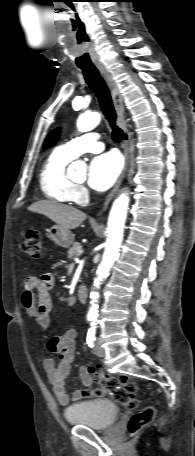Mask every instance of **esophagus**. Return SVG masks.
Instances as JSON below:
<instances>
[{
    "label": "esophagus",
    "mask_w": 195,
    "mask_h": 456,
    "mask_svg": "<svg viewBox=\"0 0 195 456\" xmlns=\"http://www.w3.org/2000/svg\"><path fill=\"white\" fill-rule=\"evenodd\" d=\"M97 68L99 69L100 73L104 77V79L111 91L115 110L117 113L118 123H119L120 128L123 131L122 149H123V155H124V159H125L124 168H123L118 180L116 181L113 189L107 195V197L103 203V206L101 207V209L99 210V212L97 214V216H101L106 211L109 203L115 196L116 192L118 191V189L126 175L128 165H129V138H130V136H129V130L127 127V123L125 120L123 100H122V96L119 92V89H118L115 81L113 80L111 74L102 65H98Z\"/></svg>",
    "instance_id": "obj_1"
}]
</instances>
